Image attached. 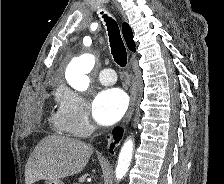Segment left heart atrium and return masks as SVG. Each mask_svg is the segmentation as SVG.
Listing matches in <instances>:
<instances>
[{"instance_id":"obj_1","label":"left heart atrium","mask_w":224,"mask_h":184,"mask_svg":"<svg viewBox=\"0 0 224 184\" xmlns=\"http://www.w3.org/2000/svg\"><path fill=\"white\" fill-rule=\"evenodd\" d=\"M127 105V96L120 89L104 90L93 102V117L101 125H112L123 116Z\"/></svg>"}]
</instances>
